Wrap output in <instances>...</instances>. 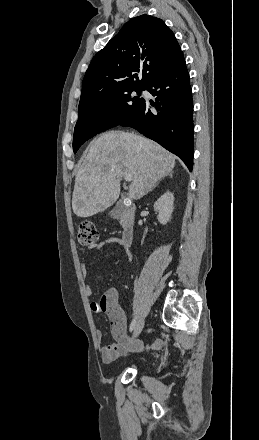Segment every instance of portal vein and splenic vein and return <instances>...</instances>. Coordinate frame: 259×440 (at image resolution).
I'll return each mask as SVG.
<instances>
[{"mask_svg":"<svg viewBox=\"0 0 259 440\" xmlns=\"http://www.w3.org/2000/svg\"><path fill=\"white\" fill-rule=\"evenodd\" d=\"M124 178H125L126 181H131L132 180V175L131 174H126L124 176Z\"/></svg>","mask_w":259,"mask_h":440,"instance_id":"obj_1","label":"portal vein and splenic vein"}]
</instances>
